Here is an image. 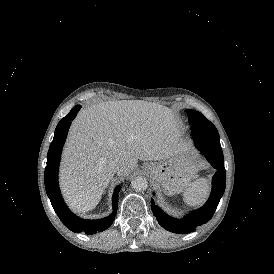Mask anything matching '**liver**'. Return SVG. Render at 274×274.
<instances>
[{
    "label": "liver",
    "instance_id": "obj_1",
    "mask_svg": "<svg viewBox=\"0 0 274 274\" xmlns=\"http://www.w3.org/2000/svg\"><path fill=\"white\" fill-rule=\"evenodd\" d=\"M177 120L160 104L143 100L100 103L79 112L64 151L62 180L71 206L94 208L116 173L120 179L138 160H161L178 147Z\"/></svg>",
    "mask_w": 274,
    "mask_h": 274
}]
</instances>
